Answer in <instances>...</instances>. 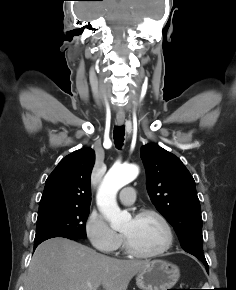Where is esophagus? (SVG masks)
I'll return each instance as SVG.
<instances>
[{
    "label": "esophagus",
    "instance_id": "34e87169",
    "mask_svg": "<svg viewBox=\"0 0 236 290\" xmlns=\"http://www.w3.org/2000/svg\"><path fill=\"white\" fill-rule=\"evenodd\" d=\"M125 121V115L124 114H117L116 115V124L121 126L124 124Z\"/></svg>",
    "mask_w": 236,
    "mask_h": 290
}]
</instances>
